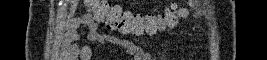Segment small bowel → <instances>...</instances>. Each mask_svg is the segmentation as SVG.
<instances>
[{
    "mask_svg": "<svg viewBox=\"0 0 267 60\" xmlns=\"http://www.w3.org/2000/svg\"><path fill=\"white\" fill-rule=\"evenodd\" d=\"M195 14L200 15L201 9L198 7L194 8ZM181 15H186L187 10L181 9ZM86 37L89 41L95 43H109L112 45H119L127 52L135 55L139 59L152 60L154 59L153 55L148 53L136 41H126L115 38L111 35L102 33L95 21L88 15L78 16L69 20L67 24V30L65 33V43L69 49L72 51L87 57L92 54V49L87 45L76 46L73 44L74 41L78 40L80 37ZM162 46L157 51L158 58H163Z\"/></svg>",
    "mask_w": 267,
    "mask_h": 60,
    "instance_id": "1",
    "label": "small bowel"
}]
</instances>
